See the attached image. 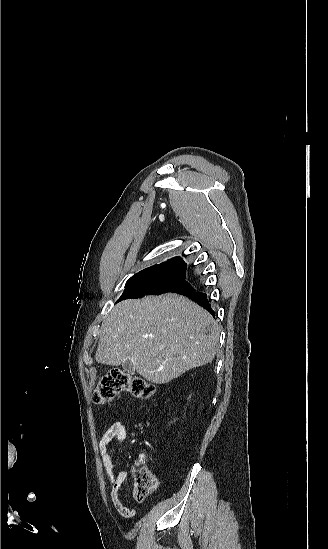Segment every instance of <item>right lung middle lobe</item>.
Listing matches in <instances>:
<instances>
[{
	"instance_id": "1",
	"label": "right lung middle lobe",
	"mask_w": 328,
	"mask_h": 549,
	"mask_svg": "<svg viewBox=\"0 0 328 549\" xmlns=\"http://www.w3.org/2000/svg\"><path fill=\"white\" fill-rule=\"evenodd\" d=\"M185 273L172 271H141L126 283L119 300L140 298L145 295H160L167 292L184 293L194 290L185 280Z\"/></svg>"
}]
</instances>
